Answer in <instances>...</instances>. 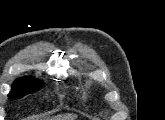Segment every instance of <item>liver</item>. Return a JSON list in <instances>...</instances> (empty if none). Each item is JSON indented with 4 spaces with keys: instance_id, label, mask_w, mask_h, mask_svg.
I'll list each match as a JSON object with an SVG mask.
<instances>
[{
    "instance_id": "1",
    "label": "liver",
    "mask_w": 165,
    "mask_h": 120,
    "mask_svg": "<svg viewBox=\"0 0 165 120\" xmlns=\"http://www.w3.org/2000/svg\"><path fill=\"white\" fill-rule=\"evenodd\" d=\"M62 118H63L62 120H75L76 115H73V114H67V115H65V116L62 117Z\"/></svg>"
}]
</instances>
